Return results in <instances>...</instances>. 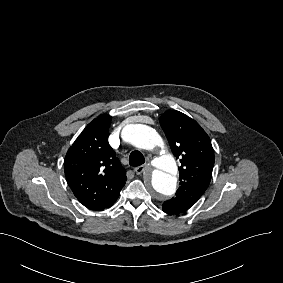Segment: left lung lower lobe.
Instances as JSON below:
<instances>
[{
	"instance_id": "obj_1",
	"label": "left lung lower lobe",
	"mask_w": 283,
	"mask_h": 283,
	"mask_svg": "<svg viewBox=\"0 0 283 283\" xmlns=\"http://www.w3.org/2000/svg\"><path fill=\"white\" fill-rule=\"evenodd\" d=\"M162 209L164 212L168 213V214H179L182 212L187 211L189 208L187 207H174V206H168L163 204Z\"/></svg>"
}]
</instances>
